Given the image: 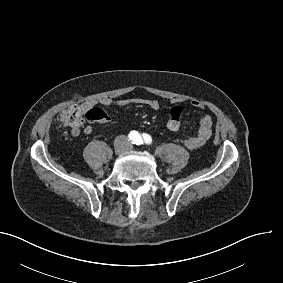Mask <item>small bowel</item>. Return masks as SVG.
Listing matches in <instances>:
<instances>
[{"mask_svg":"<svg viewBox=\"0 0 283 283\" xmlns=\"http://www.w3.org/2000/svg\"><path fill=\"white\" fill-rule=\"evenodd\" d=\"M97 105H101L104 107L116 106L120 108L130 107V106H144L151 110H158L160 108V102L152 98L134 97V98H126V99H113L110 97H104L99 100L91 99V100L85 101L81 105V108L84 111H86L84 114V117L87 121L89 122L99 121L102 123H106L110 120L108 115H106L100 109L96 108ZM192 105L198 111L204 110V105L198 100H194L192 102ZM177 107L178 106L174 107L171 110L170 118L175 113V109ZM168 122H167V128L169 125ZM84 132L86 134H91L93 132L92 126L90 125L86 126L84 129ZM212 132H213V118L211 115L206 114L202 116L200 119L198 132L195 135L186 138L184 140V145L189 150H196L202 147L211 138Z\"/></svg>","mask_w":283,"mask_h":283,"instance_id":"1","label":"small bowel"}]
</instances>
